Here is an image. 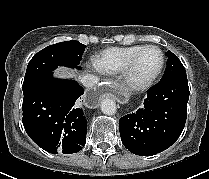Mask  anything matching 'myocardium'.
Wrapping results in <instances>:
<instances>
[{"label":"myocardium","mask_w":209,"mask_h":179,"mask_svg":"<svg viewBox=\"0 0 209 179\" xmlns=\"http://www.w3.org/2000/svg\"><path fill=\"white\" fill-rule=\"evenodd\" d=\"M155 48L159 51L161 55V63L158 70L150 77L137 80L134 77V69L137 64L138 59L140 56L148 49ZM165 66V54L163 50L157 45H145L139 51H137L132 58L128 61L127 65L125 66L124 70L122 71V77L125 86L132 92H140L148 89L161 75Z\"/></svg>","instance_id":"f54148a6"}]
</instances>
